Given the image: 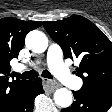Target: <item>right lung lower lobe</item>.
<instances>
[{
	"label": "right lung lower lobe",
	"instance_id": "98d812e1",
	"mask_svg": "<svg viewBox=\"0 0 112 112\" xmlns=\"http://www.w3.org/2000/svg\"><path fill=\"white\" fill-rule=\"evenodd\" d=\"M43 92L41 78L29 80L21 88L15 101L6 112H33L34 99Z\"/></svg>",
	"mask_w": 112,
	"mask_h": 112
}]
</instances>
